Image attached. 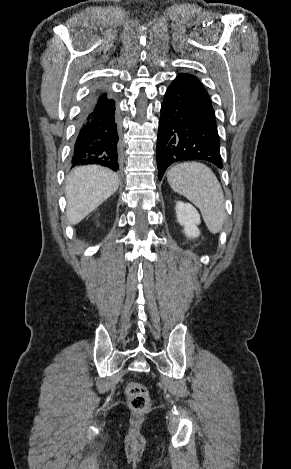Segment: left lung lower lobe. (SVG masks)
I'll return each instance as SVG.
<instances>
[{
    "label": "left lung lower lobe",
    "instance_id": "0a47b994",
    "mask_svg": "<svg viewBox=\"0 0 291 469\" xmlns=\"http://www.w3.org/2000/svg\"><path fill=\"white\" fill-rule=\"evenodd\" d=\"M211 99L196 76L181 73L165 92L157 138L159 180L174 162L206 160L223 167Z\"/></svg>",
    "mask_w": 291,
    "mask_h": 469
}]
</instances>
